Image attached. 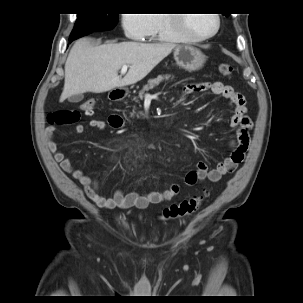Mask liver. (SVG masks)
<instances>
[{
    "instance_id": "obj_1",
    "label": "liver",
    "mask_w": 303,
    "mask_h": 303,
    "mask_svg": "<svg viewBox=\"0 0 303 303\" xmlns=\"http://www.w3.org/2000/svg\"><path fill=\"white\" fill-rule=\"evenodd\" d=\"M176 48L173 43H106L93 46L89 39L76 41L65 63L64 89L60 102L85 92L102 93L142 80ZM129 66L125 77L118 75Z\"/></svg>"
}]
</instances>
